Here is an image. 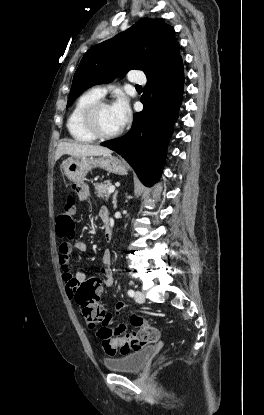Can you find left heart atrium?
Masks as SVG:
<instances>
[{
  "label": "left heart atrium",
  "mask_w": 264,
  "mask_h": 415,
  "mask_svg": "<svg viewBox=\"0 0 264 415\" xmlns=\"http://www.w3.org/2000/svg\"><path fill=\"white\" fill-rule=\"evenodd\" d=\"M112 107L118 116L121 125H124L130 117V109L126 98L124 96H119Z\"/></svg>",
  "instance_id": "obj_1"
}]
</instances>
